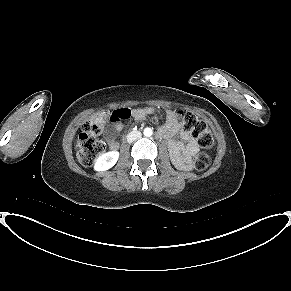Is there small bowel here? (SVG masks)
Returning <instances> with one entry per match:
<instances>
[{"mask_svg": "<svg viewBox=\"0 0 291 291\" xmlns=\"http://www.w3.org/2000/svg\"><path fill=\"white\" fill-rule=\"evenodd\" d=\"M154 111L151 107L137 108L132 111V116L137 119H143ZM166 117L165 124L158 130L157 134L160 138L169 142V149L171 156L184 169H188L189 165L186 159L194 156L198 152V144L187 132L181 122L179 121L176 111L172 109L164 110ZM124 129L121 120H113L112 127L106 134V142L111 149H116L118 144L116 141V134ZM179 136L184 143L175 141L174 138Z\"/></svg>", "mask_w": 291, "mask_h": 291, "instance_id": "1", "label": "small bowel"}]
</instances>
